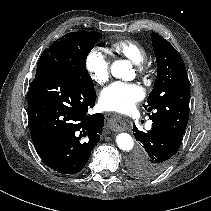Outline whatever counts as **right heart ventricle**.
Returning <instances> with one entry per match:
<instances>
[{
    "mask_svg": "<svg viewBox=\"0 0 211 211\" xmlns=\"http://www.w3.org/2000/svg\"><path fill=\"white\" fill-rule=\"evenodd\" d=\"M111 51L129 59L134 64L143 62L146 58L145 48L131 39H121L112 43Z\"/></svg>",
    "mask_w": 211,
    "mask_h": 211,
    "instance_id": "obj_1",
    "label": "right heart ventricle"
}]
</instances>
